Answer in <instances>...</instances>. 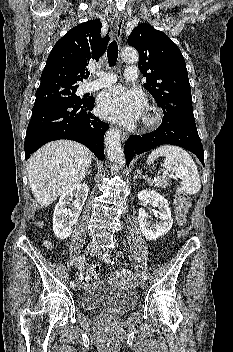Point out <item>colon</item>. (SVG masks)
Instances as JSON below:
<instances>
[{"label":"colon","instance_id":"colon-1","mask_svg":"<svg viewBox=\"0 0 233 352\" xmlns=\"http://www.w3.org/2000/svg\"><path fill=\"white\" fill-rule=\"evenodd\" d=\"M190 198L183 192H178L174 199V207L176 212L177 222L180 225L185 224L190 208ZM102 267L99 264H93L88 267L86 274V282L98 279L101 276Z\"/></svg>","mask_w":233,"mask_h":352}]
</instances>
